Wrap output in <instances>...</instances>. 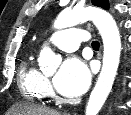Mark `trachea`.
Returning <instances> with one entry per match:
<instances>
[{
    "label": "trachea",
    "mask_w": 131,
    "mask_h": 115,
    "mask_svg": "<svg viewBox=\"0 0 131 115\" xmlns=\"http://www.w3.org/2000/svg\"><path fill=\"white\" fill-rule=\"evenodd\" d=\"M100 47V43L98 41H93L92 42V48L93 49H99Z\"/></svg>",
    "instance_id": "3493384b"
}]
</instances>
